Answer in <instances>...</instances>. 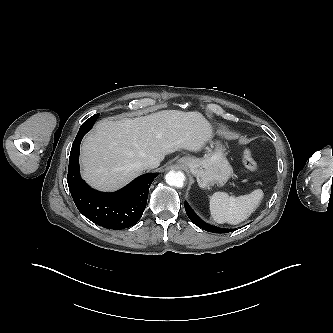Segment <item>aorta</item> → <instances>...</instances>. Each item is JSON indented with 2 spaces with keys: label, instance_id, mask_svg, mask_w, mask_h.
Returning <instances> with one entry per match:
<instances>
[{
  "label": "aorta",
  "instance_id": "1",
  "mask_svg": "<svg viewBox=\"0 0 333 333\" xmlns=\"http://www.w3.org/2000/svg\"><path fill=\"white\" fill-rule=\"evenodd\" d=\"M165 180L170 186L183 187L185 175L182 172H176L172 170L166 174Z\"/></svg>",
  "mask_w": 333,
  "mask_h": 333
}]
</instances>
